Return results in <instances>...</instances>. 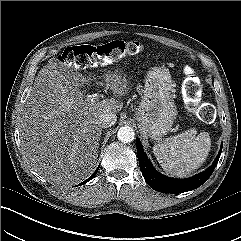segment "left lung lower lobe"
<instances>
[{"mask_svg": "<svg viewBox=\"0 0 241 241\" xmlns=\"http://www.w3.org/2000/svg\"><path fill=\"white\" fill-rule=\"evenodd\" d=\"M221 151L222 146L215 161L207 170L194 177L180 180L165 177L164 175H161L159 172H157L152 167L147 156L145 155L140 141L137 140V155L142 175L152 189L162 193H183L201 186L213 173L220 158Z\"/></svg>", "mask_w": 241, "mask_h": 241, "instance_id": "0a47b994", "label": "left lung lower lobe"}]
</instances>
